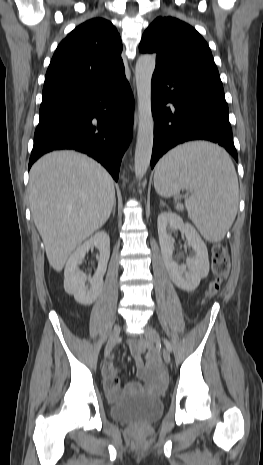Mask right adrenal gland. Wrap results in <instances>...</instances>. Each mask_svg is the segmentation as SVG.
<instances>
[{
  "instance_id": "right-adrenal-gland-1",
  "label": "right adrenal gland",
  "mask_w": 263,
  "mask_h": 465,
  "mask_svg": "<svg viewBox=\"0 0 263 465\" xmlns=\"http://www.w3.org/2000/svg\"><path fill=\"white\" fill-rule=\"evenodd\" d=\"M115 211H116V205L114 204L112 215L115 216Z\"/></svg>"
}]
</instances>
